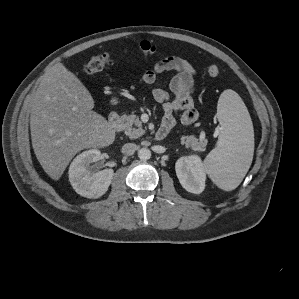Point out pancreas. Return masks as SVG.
<instances>
[{
    "label": "pancreas",
    "instance_id": "obj_1",
    "mask_svg": "<svg viewBox=\"0 0 299 299\" xmlns=\"http://www.w3.org/2000/svg\"><path fill=\"white\" fill-rule=\"evenodd\" d=\"M125 134L131 139H136L145 133L142 128V122L135 114L123 115L121 117ZM180 143L187 148H191L194 151H204L207 145V141L203 138H196L194 135L182 136Z\"/></svg>",
    "mask_w": 299,
    "mask_h": 299
}]
</instances>
